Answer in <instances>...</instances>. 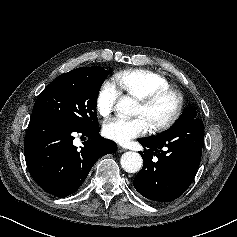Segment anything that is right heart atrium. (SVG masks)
<instances>
[{"label":"right heart atrium","mask_w":237,"mask_h":237,"mask_svg":"<svg viewBox=\"0 0 237 237\" xmlns=\"http://www.w3.org/2000/svg\"><path fill=\"white\" fill-rule=\"evenodd\" d=\"M121 91L113 80H105L97 93L95 105L98 114L103 118H108L114 110Z\"/></svg>","instance_id":"obj_1"}]
</instances>
